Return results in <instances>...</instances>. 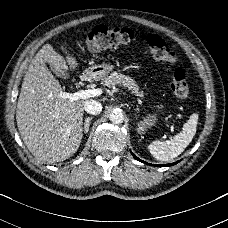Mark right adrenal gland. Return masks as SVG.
Segmentation results:
<instances>
[{
    "label": "right adrenal gland",
    "mask_w": 228,
    "mask_h": 228,
    "mask_svg": "<svg viewBox=\"0 0 228 228\" xmlns=\"http://www.w3.org/2000/svg\"><path fill=\"white\" fill-rule=\"evenodd\" d=\"M92 119H93L92 117H88L85 119V125H84L85 133L89 131V124Z\"/></svg>",
    "instance_id": "obj_1"
}]
</instances>
